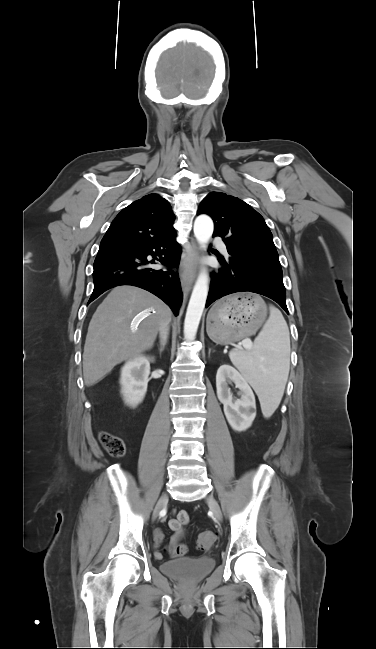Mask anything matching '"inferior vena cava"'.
Instances as JSON below:
<instances>
[{
	"label": "inferior vena cava",
	"mask_w": 376,
	"mask_h": 649,
	"mask_svg": "<svg viewBox=\"0 0 376 649\" xmlns=\"http://www.w3.org/2000/svg\"><path fill=\"white\" fill-rule=\"evenodd\" d=\"M168 323L169 322L165 323L160 329L161 344H166V342H167L168 333H169Z\"/></svg>",
	"instance_id": "inferior-vena-cava-1"
}]
</instances>
